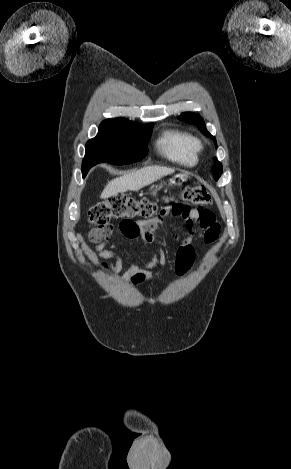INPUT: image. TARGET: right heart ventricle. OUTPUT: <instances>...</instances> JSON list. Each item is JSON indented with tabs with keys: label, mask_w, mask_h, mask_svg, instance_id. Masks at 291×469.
Listing matches in <instances>:
<instances>
[{
	"label": "right heart ventricle",
	"mask_w": 291,
	"mask_h": 469,
	"mask_svg": "<svg viewBox=\"0 0 291 469\" xmlns=\"http://www.w3.org/2000/svg\"><path fill=\"white\" fill-rule=\"evenodd\" d=\"M157 152L167 160L192 167L198 163V140L179 129L164 130L156 141Z\"/></svg>",
	"instance_id": "1"
}]
</instances>
